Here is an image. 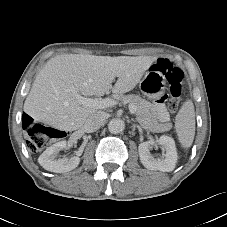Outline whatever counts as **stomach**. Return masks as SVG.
I'll return each mask as SVG.
<instances>
[{
  "label": "stomach",
  "instance_id": "obj_1",
  "mask_svg": "<svg viewBox=\"0 0 227 227\" xmlns=\"http://www.w3.org/2000/svg\"><path fill=\"white\" fill-rule=\"evenodd\" d=\"M165 78L163 74L150 68L139 82L140 91L149 99H158L165 92Z\"/></svg>",
  "mask_w": 227,
  "mask_h": 227
}]
</instances>
